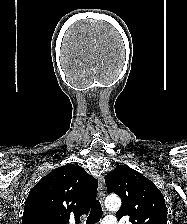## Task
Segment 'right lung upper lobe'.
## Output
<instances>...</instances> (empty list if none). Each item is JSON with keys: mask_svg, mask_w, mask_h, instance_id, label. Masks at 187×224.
<instances>
[{"mask_svg": "<svg viewBox=\"0 0 187 224\" xmlns=\"http://www.w3.org/2000/svg\"><path fill=\"white\" fill-rule=\"evenodd\" d=\"M97 180L79 166L66 164L43 177L26 199L22 224H68L89 211Z\"/></svg>", "mask_w": 187, "mask_h": 224, "instance_id": "cb5924a9", "label": "right lung upper lobe"}]
</instances>
